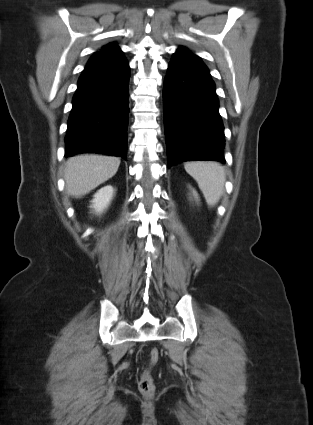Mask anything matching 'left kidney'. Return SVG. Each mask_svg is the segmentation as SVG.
<instances>
[{
	"mask_svg": "<svg viewBox=\"0 0 313 425\" xmlns=\"http://www.w3.org/2000/svg\"><path fill=\"white\" fill-rule=\"evenodd\" d=\"M193 196L198 200V194L196 193L195 190H193Z\"/></svg>",
	"mask_w": 313,
	"mask_h": 425,
	"instance_id": "left-kidney-1",
	"label": "left kidney"
}]
</instances>
